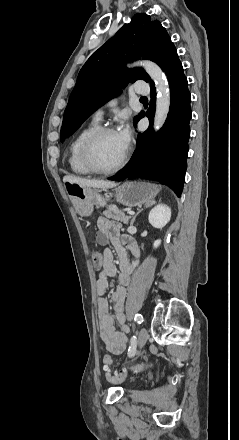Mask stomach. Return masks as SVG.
<instances>
[{
	"instance_id": "obj_1",
	"label": "stomach",
	"mask_w": 239,
	"mask_h": 440,
	"mask_svg": "<svg viewBox=\"0 0 239 440\" xmlns=\"http://www.w3.org/2000/svg\"><path fill=\"white\" fill-rule=\"evenodd\" d=\"M66 190L77 214H80V216H91L94 206L104 208L107 204L106 198H102L96 190H91V188H80L78 184H68ZM158 192H160V186H157V184L125 182L117 188L115 198L119 204L133 208V206L150 204Z\"/></svg>"
}]
</instances>
